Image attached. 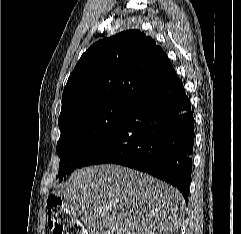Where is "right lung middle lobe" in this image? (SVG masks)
Here are the masks:
<instances>
[{"mask_svg":"<svg viewBox=\"0 0 241 234\" xmlns=\"http://www.w3.org/2000/svg\"><path fill=\"white\" fill-rule=\"evenodd\" d=\"M131 103L108 102L79 109L60 123L57 153L59 181L76 168L122 121Z\"/></svg>","mask_w":241,"mask_h":234,"instance_id":"obj_1","label":"right lung middle lobe"}]
</instances>
